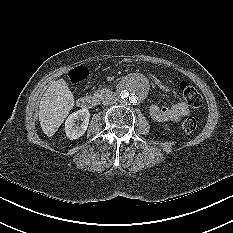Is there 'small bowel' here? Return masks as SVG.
I'll list each match as a JSON object with an SVG mask.
<instances>
[{
  "label": "small bowel",
  "mask_w": 233,
  "mask_h": 233,
  "mask_svg": "<svg viewBox=\"0 0 233 233\" xmlns=\"http://www.w3.org/2000/svg\"><path fill=\"white\" fill-rule=\"evenodd\" d=\"M151 118L158 122H179L189 115L190 110L184 101L177 102L171 106H159L154 104L150 107Z\"/></svg>",
  "instance_id": "1"
}]
</instances>
